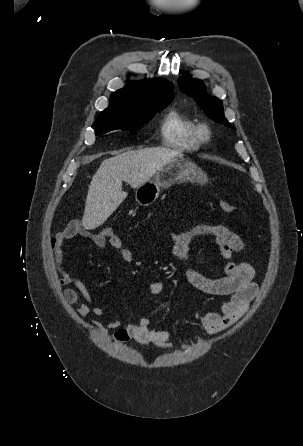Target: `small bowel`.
<instances>
[{
    "label": "small bowel",
    "instance_id": "1",
    "mask_svg": "<svg viewBox=\"0 0 303 446\" xmlns=\"http://www.w3.org/2000/svg\"><path fill=\"white\" fill-rule=\"evenodd\" d=\"M77 235L91 238L100 249L107 245L111 246L121 259L128 264H133L135 258L117 235L108 238L103 236L102 232H90L78 220L70 222L50 239L49 249L53 264L59 273L58 282L61 286H73L64 290L66 300L76 305V312L80 317H86L90 314L102 317L104 315L103 309L93 303L92 296L81 278L72 275L63 266V246ZM168 236L172 241V253L181 262L188 281L204 293L227 298L219 310L210 311L205 315H195L203 330L207 335L213 336L234 325L247 312L250 302L257 293L254 268L247 262H236L233 259L236 253L244 250L245 244L242 238L223 225H198L187 231H171ZM203 236L214 238L223 259L226 261L224 275L221 277L206 276L192 262L191 244L196 238ZM164 288L163 281H154L149 285L148 292L152 296H157L163 292ZM94 325L97 326V323H94ZM107 325L115 330L113 340L116 343H125L134 339L142 344L157 348L169 349L173 347L170 332L166 329L151 328V320L148 317H142L136 323L127 324L113 319L109 320ZM203 341V339H200L196 344ZM191 346L188 344L182 345V348H190Z\"/></svg>",
    "mask_w": 303,
    "mask_h": 446
}]
</instances>
